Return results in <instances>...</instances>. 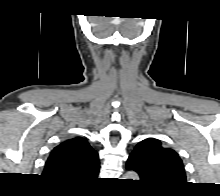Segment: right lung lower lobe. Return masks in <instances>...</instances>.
Instances as JSON below:
<instances>
[{
  "label": "right lung lower lobe",
  "mask_w": 220,
  "mask_h": 196,
  "mask_svg": "<svg viewBox=\"0 0 220 196\" xmlns=\"http://www.w3.org/2000/svg\"><path fill=\"white\" fill-rule=\"evenodd\" d=\"M56 183V182H55ZM58 185H61V186H65V187H75V186H80V185H69V184H63V183H56Z\"/></svg>",
  "instance_id": "obj_1"
}]
</instances>
